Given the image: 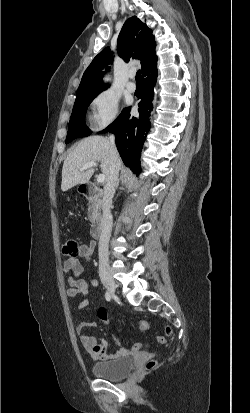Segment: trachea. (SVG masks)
<instances>
[{"instance_id":"obj_1","label":"trachea","mask_w":250,"mask_h":413,"mask_svg":"<svg viewBox=\"0 0 250 413\" xmlns=\"http://www.w3.org/2000/svg\"><path fill=\"white\" fill-rule=\"evenodd\" d=\"M141 70H138L136 73V83H141Z\"/></svg>"}]
</instances>
